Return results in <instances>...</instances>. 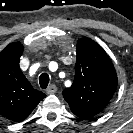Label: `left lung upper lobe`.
<instances>
[{
  "label": "left lung upper lobe",
  "instance_id": "obj_1",
  "mask_svg": "<svg viewBox=\"0 0 133 133\" xmlns=\"http://www.w3.org/2000/svg\"><path fill=\"white\" fill-rule=\"evenodd\" d=\"M117 87L114 66L104 49L90 38L77 41L75 78L63 97L71 111L82 119L100 113Z\"/></svg>",
  "mask_w": 133,
  "mask_h": 133
}]
</instances>
